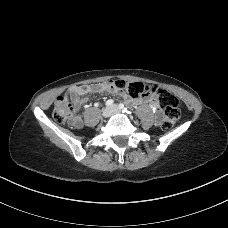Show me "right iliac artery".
<instances>
[{"mask_svg":"<svg viewBox=\"0 0 228 228\" xmlns=\"http://www.w3.org/2000/svg\"><path fill=\"white\" fill-rule=\"evenodd\" d=\"M113 103H114V101L112 99H109V100L106 101L105 105L106 106H111V105H113Z\"/></svg>","mask_w":228,"mask_h":228,"instance_id":"1","label":"right iliac artery"}]
</instances>
